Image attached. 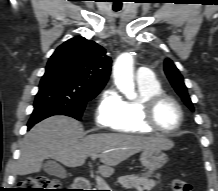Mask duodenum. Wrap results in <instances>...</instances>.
I'll use <instances>...</instances> for the list:
<instances>
[{
    "instance_id": "obj_1",
    "label": "duodenum",
    "mask_w": 218,
    "mask_h": 191,
    "mask_svg": "<svg viewBox=\"0 0 218 191\" xmlns=\"http://www.w3.org/2000/svg\"><path fill=\"white\" fill-rule=\"evenodd\" d=\"M91 184L88 179L84 177H79L75 180L73 191H88Z\"/></svg>"
}]
</instances>
